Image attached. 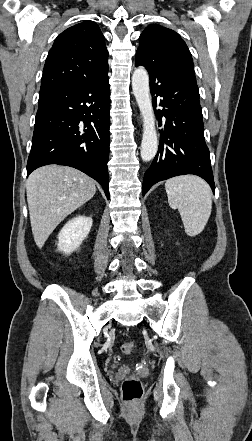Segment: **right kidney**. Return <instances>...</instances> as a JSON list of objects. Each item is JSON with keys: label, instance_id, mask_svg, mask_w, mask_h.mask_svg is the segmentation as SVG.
Here are the masks:
<instances>
[{"label": "right kidney", "instance_id": "right-kidney-1", "mask_svg": "<svg viewBox=\"0 0 252 441\" xmlns=\"http://www.w3.org/2000/svg\"><path fill=\"white\" fill-rule=\"evenodd\" d=\"M92 218L79 215L69 220L58 234V250L71 254L80 247L92 227Z\"/></svg>", "mask_w": 252, "mask_h": 441}]
</instances>
